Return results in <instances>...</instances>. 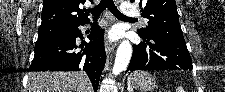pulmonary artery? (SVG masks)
<instances>
[{
  "instance_id": "pulmonary-artery-1",
  "label": "pulmonary artery",
  "mask_w": 225,
  "mask_h": 92,
  "mask_svg": "<svg viewBox=\"0 0 225 92\" xmlns=\"http://www.w3.org/2000/svg\"><path fill=\"white\" fill-rule=\"evenodd\" d=\"M126 6H129V4H126ZM138 15H139V13L137 10H127V12H126V17L128 19H134Z\"/></svg>"
}]
</instances>
